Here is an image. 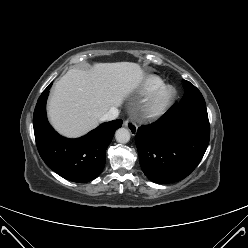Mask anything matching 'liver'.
Here are the masks:
<instances>
[{
  "instance_id": "obj_1",
  "label": "liver",
  "mask_w": 248,
  "mask_h": 248,
  "mask_svg": "<svg viewBox=\"0 0 248 248\" xmlns=\"http://www.w3.org/2000/svg\"><path fill=\"white\" fill-rule=\"evenodd\" d=\"M143 70L132 62L97 63L90 71L69 70L56 82L49 103L51 124L67 137L95 128L111 108L143 80Z\"/></svg>"
}]
</instances>
